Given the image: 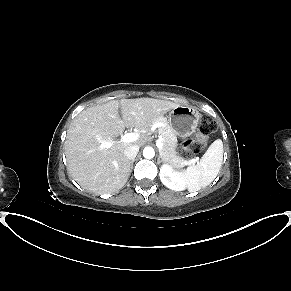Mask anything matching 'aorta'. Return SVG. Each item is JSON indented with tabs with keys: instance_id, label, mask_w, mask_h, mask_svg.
Wrapping results in <instances>:
<instances>
[{
	"instance_id": "1",
	"label": "aorta",
	"mask_w": 291,
	"mask_h": 291,
	"mask_svg": "<svg viewBox=\"0 0 291 291\" xmlns=\"http://www.w3.org/2000/svg\"><path fill=\"white\" fill-rule=\"evenodd\" d=\"M143 156L146 159H152L155 156V151L152 147L147 146L143 150Z\"/></svg>"
}]
</instances>
